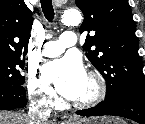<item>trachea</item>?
<instances>
[{"label": "trachea", "instance_id": "obj_1", "mask_svg": "<svg viewBox=\"0 0 145 124\" xmlns=\"http://www.w3.org/2000/svg\"><path fill=\"white\" fill-rule=\"evenodd\" d=\"M41 7L46 19L52 21L54 18V9L51 0H41Z\"/></svg>", "mask_w": 145, "mask_h": 124}]
</instances>
